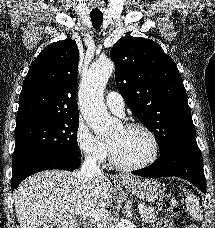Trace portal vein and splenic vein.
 <instances>
[{"mask_svg":"<svg viewBox=\"0 0 215 228\" xmlns=\"http://www.w3.org/2000/svg\"><path fill=\"white\" fill-rule=\"evenodd\" d=\"M138 210L142 212V210H146V208L145 206H138ZM71 214H74V212H71ZM76 214L88 216V214H85V212H82V210H79V212H76ZM90 218H93V220H108V218H110V212H107V210H96V212H92Z\"/></svg>","mask_w":215,"mask_h":228,"instance_id":"portal-vein-and-splenic-vein-1","label":"portal vein and splenic vein"}]
</instances>
